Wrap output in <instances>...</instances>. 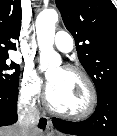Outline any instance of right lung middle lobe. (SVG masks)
Masks as SVG:
<instances>
[{
	"mask_svg": "<svg viewBox=\"0 0 117 136\" xmlns=\"http://www.w3.org/2000/svg\"><path fill=\"white\" fill-rule=\"evenodd\" d=\"M9 56L0 57V88H17L20 67L18 64L6 62Z\"/></svg>",
	"mask_w": 117,
	"mask_h": 136,
	"instance_id": "dd1d6c3e",
	"label": "right lung middle lobe"
}]
</instances>
